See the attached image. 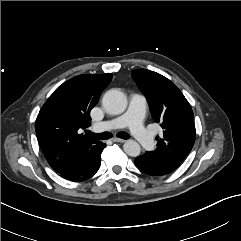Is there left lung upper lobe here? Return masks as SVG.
<instances>
[{
    "mask_svg": "<svg viewBox=\"0 0 241 241\" xmlns=\"http://www.w3.org/2000/svg\"><path fill=\"white\" fill-rule=\"evenodd\" d=\"M132 77L145 95L155 122L163 128V136L156 137L157 149L147 151L148 160L179 167L190 153L195 141L194 115L181 91L159 73L138 69Z\"/></svg>",
    "mask_w": 241,
    "mask_h": 241,
    "instance_id": "left-lung-upper-lobe-1",
    "label": "left lung upper lobe"
}]
</instances>
